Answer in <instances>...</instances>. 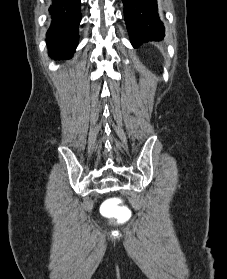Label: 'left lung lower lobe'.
<instances>
[{
    "label": "left lung lower lobe",
    "mask_w": 227,
    "mask_h": 279,
    "mask_svg": "<svg viewBox=\"0 0 227 279\" xmlns=\"http://www.w3.org/2000/svg\"><path fill=\"white\" fill-rule=\"evenodd\" d=\"M122 1L126 26L134 47L143 42L159 41L164 38L165 28L159 18L157 0Z\"/></svg>",
    "instance_id": "left-lung-lower-lobe-1"
}]
</instances>
